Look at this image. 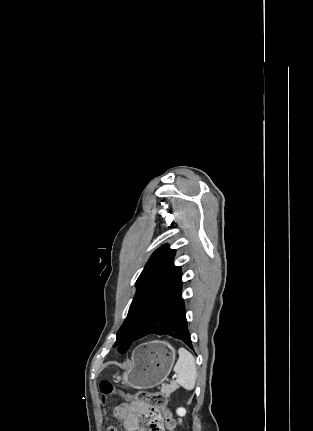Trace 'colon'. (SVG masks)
<instances>
[{
  "label": "colon",
  "instance_id": "colon-1",
  "mask_svg": "<svg viewBox=\"0 0 313 431\" xmlns=\"http://www.w3.org/2000/svg\"><path fill=\"white\" fill-rule=\"evenodd\" d=\"M237 116L238 114L227 115V117ZM99 389L101 394L106 397L110 395H119L124 399L136 404H143L148 407L150 412L157 417L151 427V431H173L175 423L171 412L167 409L166 397L162 393L139 391L134 394L124 393L114 388L109 381L100 382ZM108 431H116L114 427H109Z\"/></svg>",
  "mask_w": 313,
  "mask_h": 431
}]
</instances>
